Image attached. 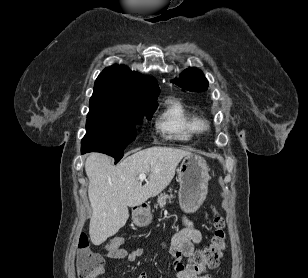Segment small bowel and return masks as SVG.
Segmentation results:
<instances>
[{"instance_id": "small-bowel-1", "label": "small bowel", "mask_w": 308, "mask_h": 278, "mask_svg": "<svg viewBox=\"0 0 308 278\" xmlns=\"http://www.w3.org/2000/svg\"><path fill=\"white\" fill-rule=\"evenodd\" d=\"M183 228L173 237L170 243H161L159 246L166 249L174 259L175 278H211L207 270H203L195 264H184L183 257H191L195 253V245L202 242L201 232L195 228L193 221L186 215L182 218ZM145 254L143 248L126 250H106L103 257L112 259H126L134 262ZM104 272V267L101 274ZM137 278H147L146 272H141Z\"/></svg>"}]
</instances>
